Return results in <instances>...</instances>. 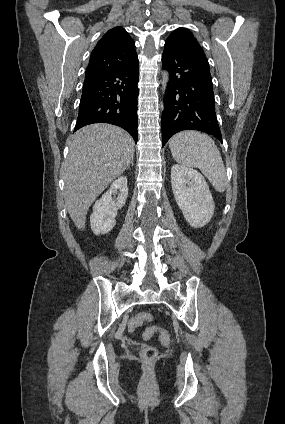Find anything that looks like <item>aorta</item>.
Masks as SVG:
<instances>
[{
    "label": "aorta",
    "mask_w": 285,
    "mask_h": 424,
    "mask_svg": "<svg viewBox=\"0 0 285 424\" xmlns=\"http://www.w3.org/2000/svg\"><path fill=\"white\" fill-rule=\"evenodd\" d=\"M168 81H169V73L167 71H164L163 74H162V90H163V92H165L166 89H167Z\"/></svg>",
    "instance_id": "obj_1"
}]
</instances>
